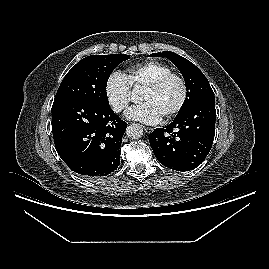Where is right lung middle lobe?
I'll return each instance as SVG.
<instances>
[{
	"mask_svg": "<svg viewBox=\"0 0 269 269\" xmlns=\"http://www.w3.org/2000/svg\"><path fill=\"white\" fill-rule=\"evenodd\" d=\"M125 54L91 55L83 58L66 74L54 101L78 99L109 106L106 85L115 67L129 59Z\"/></svg>",
	"mask_w": 269,
	"mask_h": 269,
	"instance_id": "obj_1",
	"label": "right lung middle lobe"
}]
</instances>
